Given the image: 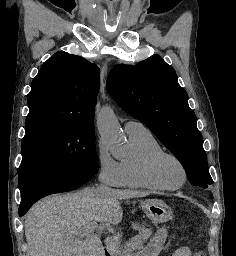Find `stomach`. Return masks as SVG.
I'll return each instance as SVG.
<instances>
[{
  "label": "stomach",
  "instance_id": "stomach-1",
  "mask_svg": "<svg viewBox=\"0 0 236 256\" xmlns=\"http://www.w3.org/2000/svg\"><path fill=\"white\" fill-rule=\"evenodd\" d=\"M141 205L146 216L156 225L168 222L173 217L171 208L162 200L149 199L143 201ZM166 237L165 228H158L150 242L134 256H158L163 249Z\"/></svg>",
  "mask_w": 236,
  "mask_h": 256
}]
</instances>
